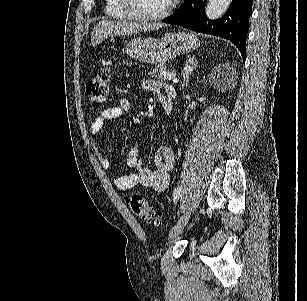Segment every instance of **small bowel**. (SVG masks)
<instances>
[{"mask_svg": "<svg viewBox=\"0 0 307 301\" xmlns=\"http://www.w3.org/2000/svg\"><path fill=\"white\" fill-rule=\"evenodd\" d=\"M145 87L158 97L169 90L166 85L155 81L145 83ZM129 109V102L125 99H121L117 104L100 112L91 124V141L97 145L99 136L105 125L110 121L122 117ZM96 155L102 167L105 169L109 168L110 163L107 156L98 147L96 148ZM126 163L131 169V172L126 175H117L113 177V182L118 189L125 191L136 185H142L156 192H164L169 185L168 173L174 166L175 158L170 148L161 147L156 153V169H149L143 165L140 158V150L135 146L128 152Z\"/></svg>", "mask_w": 307, "mask_h": 301, "instance_id": "1", "label": "small bowel"}]
</instances>
